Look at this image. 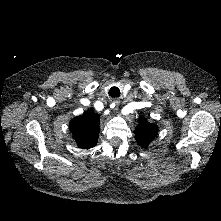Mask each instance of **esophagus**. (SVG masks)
<instances>
[{
    "instance_id": "esophagus-1",
    "label": "esophagus",
    "mask_w": 221,
    "mask_h": 221,
    "mask_svg": "<svg viewBox=\"0 0 221 221\" xmlns=\"http://www.w3.org/2000/svg\"><path fill=\"white\" fill-rule=\"evenodd\" d=\"M113 103H114L115 106H116L115 110H117V109H118V106H119V104H120V99H118V98L114 99V100H113Z\"/></svg>"
}]
</instances>
